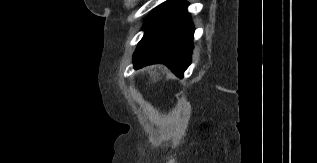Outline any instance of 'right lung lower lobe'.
Here are the masks:
<instances>
[{
  "label": "right lung lower lobe",
  "mask_w": 317,
  "mask_h": 163,
  "mask_svg": "<svg viewBox=\"0 0 317 163\" xmlns=\"http://www.w3.org/2000/svg\"><path fill=\"white\" fill-rule=\"evenodd\" d=\"M180 0L165 15L146 29L134 53L136 69L154 63L165 64L182 78L191 63L194 26Z\"/></svg>",
  "instance_id": "98d812e1"
}]
</instances>
